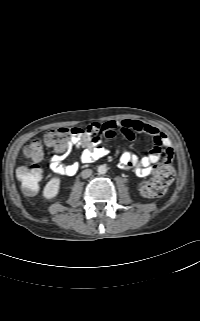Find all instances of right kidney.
<instances>
[{"label": "right kidney", "mask_w": 200, "mask_h": 321, "mask_svg": "<svg viewBox=\"0 0 200 321\" xmlns=\"http://www.w3.org/2000/svg\"><path fill=\"white\" fill-rule=\"evenodd\" d=\"M60 188V179L52 178L44 187L43 196L46 199H52L57 196Z\"/></svg>", "instance_id": "1"}]
</instances>
